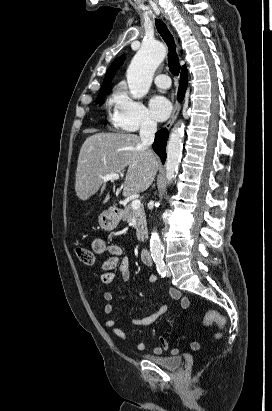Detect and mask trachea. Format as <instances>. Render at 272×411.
Returning <instances> with one entry per match:
<instances>
[{
    "label": "trachea",
    "mask_w": 272,
    "mask_h": 411,
    "mask_svg": "<svg viewBox=\"0 0 272 411\" xmlns=\"http://www.w3.org/2000/svg\"><path fill=\"white\" fill-rule=\"evenodd\" d=\"M156 28L161 35L162 39L164 42L167 44L168 47V67L170 72L174 76H178L180 73V63H179V58L176 53V44L174 41V38L170 31L168 30L166 24L159 19H156L155 21Z\"/></svg>",
    "instance_id": "3493384b"
}]
</instances>
